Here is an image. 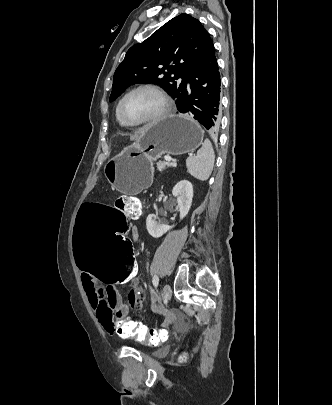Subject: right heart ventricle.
<instances>
[{
  "mask_svg": "<svg viewBox=\"0 0 332 405\" xmlns=\"http://www.w3.org/2000/svg\"><path fill=\"white\" fill-rule=\"evenodd\" d=\"M117 107H118V105H117ZM117 107H116V109H115V116H116L117 122H118L121 126H124V127L128 126L127 124H125V123L119 118Z\"/></svg>",
  "mask_w": 332,
  "mask_h": 405,
  "instance_id": "obj_1",
  "label": "right heart ventricle"
}]
</instances>
